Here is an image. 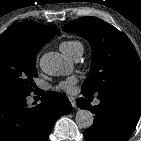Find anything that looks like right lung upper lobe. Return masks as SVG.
Returning a JSON list of instances; mask_svg holds the SVG:
<instances>
[{
  "mask_svg": "<svg viewBox=\"0 0 141 141\" xmlns=\"http://www.w3.org/2000/svg\"><path fill=\"white\" fill-rule=\"evenodd\" d=\"M59 33L60 31L56 27L40 25L29 21L11 25L0 35V38L16 37L27 39L37 45L43 46L49 38Z\"/></svg>",
  "mask_w": 141,
  "mask_h": 141,
  "instance_id": "obj_1",
  "label": "right lung upper lobe"
}]
</instances>
